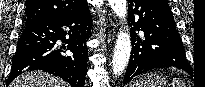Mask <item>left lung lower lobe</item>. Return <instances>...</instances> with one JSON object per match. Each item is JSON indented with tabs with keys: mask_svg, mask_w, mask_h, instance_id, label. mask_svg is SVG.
<instances>
[{
	"mask_svg": "<svg viewBox=\"0 0 205 87\" xmlns=\"http://www.w3.org/2000/svg\"><path fill=\"white\" fill-rule=\"evenodd\" d=\"M132 51L124 84L154 68L177 67L190 73L185 50L167 0H129ZM144 33L141 40L135 31Z\"/></svg>",
	"mask_w": 205,
	"mask_h": 87,
	"instance_id": "left-lung-lower-lobe-1",
	"label": "left lung lower lobe"
}]
</instances>
